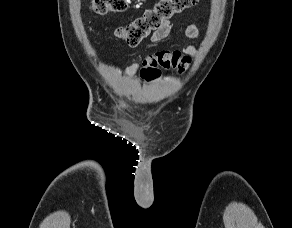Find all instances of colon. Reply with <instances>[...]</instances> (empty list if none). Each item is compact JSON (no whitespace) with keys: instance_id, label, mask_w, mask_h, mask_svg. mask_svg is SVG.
<instances>
[{"instance_id":"1","label":"colon","mask_w":292,"mask_h":228,"mask_svg":"<svg viewBox=\"0 0 292 228\" xmlns=\"http://www.w3.org/2000/svg\"><path fill=\"white\" fill-rule=\"evenodd\" d=\"M199 0H160L153 8L131 23L116 29V35L129 46H136L174 15L194 6ZM127 7V0H92L90 9L96 14L120 13ZM159 68L187 69L185 60L177 52L160 51L146 58L140 70L141 77L151 81L158 77Z\"/></svg>"}]
</instances>
